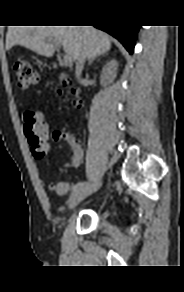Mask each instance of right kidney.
Here are the masks:
<instances>
[{
	"label": "right kidney",
	"instance_id": "1",
	"mask_svg": "<svg viewBox=\"0 0 184 292\" xmlns=\"http://www.w3.org/2000/svg\"><path fill=\"white\" fill-rule=\"evenodd\" d=\"M117 68L118 63L115 59H112L106 63L100 76V82L102 86L106 87L107 85L113 83L117 75Z\"/></svg>",
	"mask_w": 184,
	"mask_h": 292
}]
</instances>
